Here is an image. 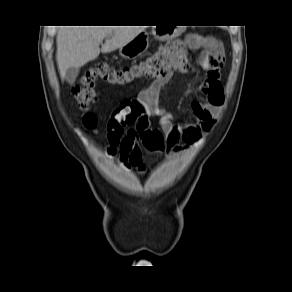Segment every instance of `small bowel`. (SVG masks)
I'll return each mask as SVG.
<instances>
[{
  "label": "small bowel",
  "mask_w": 292,
  "mask_h": 292,
  "mask_svg": "<svg viewBox=\"0 0 292 292\" xmlns=\"http://www.w3.org/2000/svg\"><path fill=\"white\" fill-rule=\"evenodd\" d=\"M204 49L199 62L206 71L204 81V92L207 102L198 100L191 102V109L196 121L186 124H174L168 113L161 111L160 133L163 136L162 153L177 155L184 153L190 146L196 144L203 135L213 126L216 116L224 102L223 86L220 82V71L224 62V53L221 43L213 37L197 38L195 44ZM187 65L182 64L171 70L167 76L154 82V86L161 89L172 78L174 71H185ZM181 141L184 144H181ZM141 130L136 126L130 128L121 138L119 143L120 162L126 169H134L140 173L146 170L143 161Z\"/></svg>",
  "instance_id": "small-bowel-1"
}]
</instances>
